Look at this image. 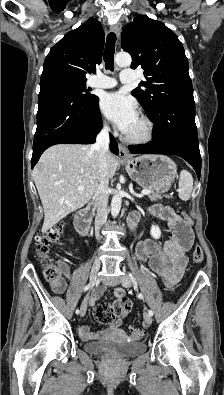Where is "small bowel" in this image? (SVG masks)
<instances>
[{
	"label": "small bowel",
	"mask_w": 224,
	"mask_h": 395,
	"mask_svg": "<svg viewBox=\"0 0 224 395\" xmlns=\"http://www.w3.org/2000/svg\"><path fill=\"white\" fill-rule=\"evenodd\" d=\"M151 212L166 222L167 227L174 232V236L163 245L154 240L141 241L136 247V255L141 262L148 263L152 271L162 278L166 287L171 288L179 282L185 270L187 264L186 251L192 243L191 233L189 229L187 231L182 229L184 221L170 207L156 205L152 207ZM63 270L65 277L49 284L51 289L58 294H62L65 291L66 278L70 277L69 269L63 266ZM103 290V286H99L94 290L91 296V303H94L100 297ZM115 295L121 297L124 295V292L118 288L115 290ZM119 324L120 321H116L110 325L108 331L116 329ZM79 333L84 339L95 337L87 325H80Z\"/></svg>",
	"instance_id": "obj_1"
}]
</instances>
